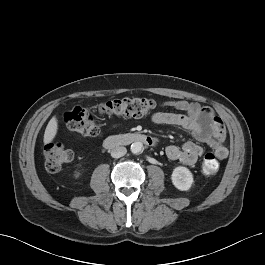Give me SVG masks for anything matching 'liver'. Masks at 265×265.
I'll return each instance as SVG.
<instances>
[{"label": "liver", "instance_id": "6515ba94", "mask_svg": "<svg viewBox=\"0 0 265 265\" xmlns=\"http://www.w3.org/2000/svg\"><path fill=\"white\" fill-rule=\"evenodd\" d=\"M57 130H58L57 118L53 116L45 129L44 139H43L44 144H48L53 141V139L57 134Z\"/></svg>", "mask_w": 265, "mask_h": 265}]
</instances>
